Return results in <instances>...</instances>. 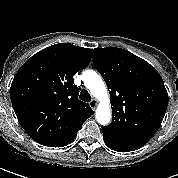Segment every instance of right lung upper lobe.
<instances>
[{"label": "right lung upper lobe", "mask_w": 178, "mask_h": 178, "mask_svg": "<svg viewBox=\"0 0 178 178\" xmlns=\"http://www.w3.org/2000/svg\"><path fill=\"white\" fill-rule=\"evenodd\" d=\"M91 50L60 43L29 58L11 84L10 97L16 116L36 142L63 147L77 135L94 112L78 99L73 76L88 66Z\"/></svg>", "instance_id": "right-lung-upper-lobe-1"}]
</instances>
